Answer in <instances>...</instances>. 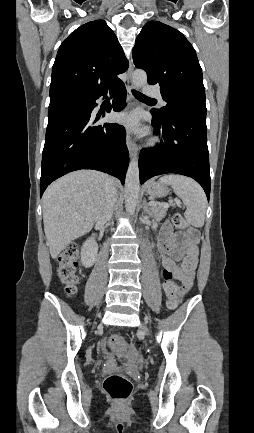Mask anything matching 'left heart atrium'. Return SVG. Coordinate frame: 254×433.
I'll list each match as a JSON object with an SVG mask.
<instances>
[{
	"label": "left heart atrium",
	"instance_id": "obj_1",
	"mask_svg": "<svg viewBox=\"0 0 254 433\" xmlns=\"http://www.w3.org/2000/svg\"><path fill=\"white\" fill-rule=\"evenodd\" d=\"M140 115L137 112L125 113L119 116V122L131 130L139 129Z\"/></svg>",
	"mask_w": 254,
	"mask_h": 433
}]
</instances>
